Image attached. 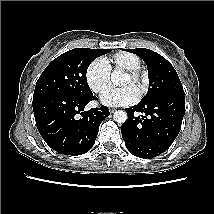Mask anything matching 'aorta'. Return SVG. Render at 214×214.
<instances>
[{"instance_id": "obj_1", "label": "aorta", "mask_w": 214, "mask_h": 214, "mask_svg": "<svg viewBox=\"0 0 214 214\" xmlns=\"http://www.w3.org/2000/svg\"><path fill=\"white\" fill-rule=\"evenodd\" d=\"M119 79H120V74L116 71H114L111 74V80L114 84H118L119 83ZM128 116L127 113L125 111L122 110H118L114 113V120L118 123H124L126 122Z\"/></svg>"}]
</instances>
